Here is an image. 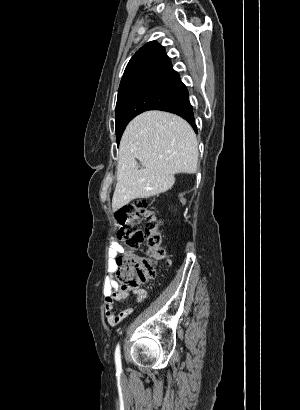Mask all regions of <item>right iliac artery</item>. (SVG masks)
Masks as SVG:
<instances>
[{"mask_svg": "<svg viewBox=\"0 0 300 410\" xmlns=\"http://www.w3.org/2000/svg\"><path fill=\"white\" fill-rule=\"evenodd\" d=\"M115 363H116L117 370H120L121 369V354H120L119 344L117 345L116 350H115Z\"/></svg>", "mask_w": 300, "mask_h": 410, "instance_id": "1", "label": "right iliac artery"}]
</instances>
